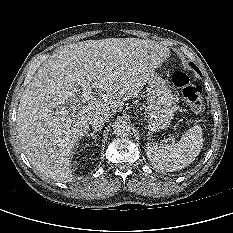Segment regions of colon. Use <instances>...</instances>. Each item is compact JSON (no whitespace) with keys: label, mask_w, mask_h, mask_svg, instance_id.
Here are the masks:
<instances>
[{"label":"colon","mask_w":233,"mask_h":233,"mask_svg":"<svg viewBox=\"0 0 233 233\" xmlns=\"http://www.w3.org/2000/svg\"><path fill=\"white\" fill-rule=\"evenodd\" d=\"M174 85L179 89L181 97L194 112H202L204 110V100L202 89L199 85L192 82L189 76L177 71L172 76Z\"/></svg>","instance_id":"1"}]
</instances>
